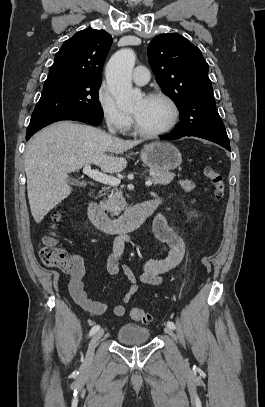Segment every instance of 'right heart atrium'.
Masks as SVG:
<instances>
[{
	"label": "right heart atrium",
	"instance_id": "right-heart-atrium-1",
	"mask_svg": "<svg viewBox=\"0 0 265 407\" xmlns=\"http://www.w3.org/2000/svg\"><path fill=\"white\" fill-rule=\"evenodd\" d=\"M97 103L103 119L110 128L120 133L130 128L132 123L130 115L119 108L105 84L100 85L97 90Z\"/></svg>",
	"mask_w": 265,
	"mask_h": 407
}]
</instances>
